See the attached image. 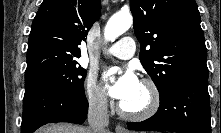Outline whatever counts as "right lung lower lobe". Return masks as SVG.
<instances>
[{
  "instance_id": "98d812e1",
  "label": "right lung lower lobe",
  "mask_w": 221,
  "mask_h": 133,
  "mask_svg": "<svg viewBox=\"0 0 221 133\" xmlns=\"http://www.w3.org/2000/svg\"><path fill=\"white\" fill-rule=\"evenodd\" d=\"M88 111L84 92L73 93L49 82L25 79L21 133L55 122L83 123Z\"/></svg>"
}]
</instances>
